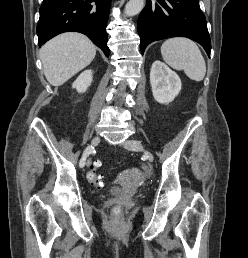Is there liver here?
Segmentation results:
<instances>
[{"label": "liver", "instance_id": "obj_1", "mask_svg": "<svg viewBox=\"0 0 248 258\" xmlns=\"http://www.w3.org/2000/svg\"><path fill=\"white\" fill-rule=\"evenodd\" d=\"M95 55V45L80 33L58 35L40 49L45 77L53 86L64 84L87 67Z\"/></svg>", "mask_w": 248, "mask_h": 258}]
</instances>
